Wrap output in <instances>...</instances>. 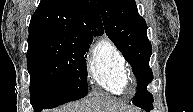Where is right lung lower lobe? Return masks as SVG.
I'll return each mask as SVG.
<instances>
[{
  "label": "right lung lower lobe",
  "instance_id": "right-lung-lower-lobe-1",
  "mask_svg": "<svg viewBox=\"0 0 193 112\" xmlns=\"http://www.w3.org/2000/svg\"><path fill=\"white\" fill-rule=\"evenodd\" d=\"M34 112H39V110L38 109H34Z\"/></svg>",
  "mask_w": 193,
  "mask_h": 112
}]
</instances>
